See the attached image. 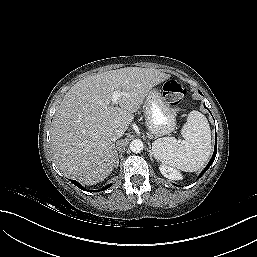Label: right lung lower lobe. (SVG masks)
<instances>
[{"instance_id":"obj_1","label":"right lung lower lobe","mask_w":257,"mask_h":257,"mask_svg":"<svg viewBox=\"0 0 257 257\" xmlns=\"http://www.w3.org/2000/svg\"><path fill=\"white\" fill-rule=\"evenodd\" d=\"M71 182H72L74 185H76L78 188H80V189H82V190H85V191H91V192L103 191V190L108 189V188L111 186V184H108V185H107L105 188H103L102 190H87V189H85L80 183H78L77 181L72 180Z\"/></svg>"}]
</instances>
